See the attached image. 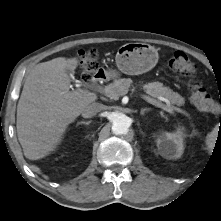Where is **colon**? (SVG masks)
<instances>
[{
    "label": "colon",
    "instance_id": "colon-1",
    "mask_svg": "<svg viewBox=\"0 0 221 221\" xmlns=\"http://www.w3.org/2000/svg\"><path fill=\"white\" fill-rule=\"evenodd\" d=\"M80 68V77L83 81H88L99 70L96 50L89 49L81 53ZM169 68L177 75L190 79L191 101L199 111L210 113L217 110V99L198 80L194 79L196 66L185 53L175 52L169 61ZM219 103L221 104V98Z\"/></svg>",
    "mask_w": 221,
    "mask_h": 221
}]
</instances>
